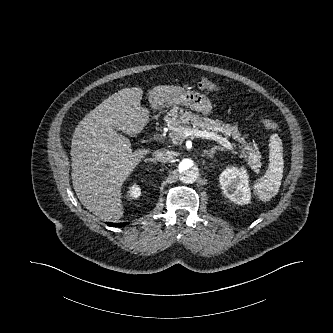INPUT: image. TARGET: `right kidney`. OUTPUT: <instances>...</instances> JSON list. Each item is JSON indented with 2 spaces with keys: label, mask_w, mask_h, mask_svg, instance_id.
<instances>
[{
  "label": "right kidney",
  "mask_w": 333,
  "mask_h": 333,
  "mask_svg": "<svg viewBox=\"0 0 333 333\" xmlns=\"http://www.w3.org/2000/svg\"><path fill=\"white\" fill-rule=\"evenodd\" d=\"M130 196L137 199L141 195V189L137 185L130 187Z\"/></svg>",
  "instance_id": "1"
}]
</instances>
